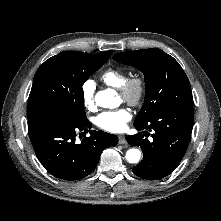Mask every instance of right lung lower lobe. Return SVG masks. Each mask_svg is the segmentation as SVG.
Returning <instances> with one entry per match:
<instances>
[{"instance_id": "1", "label": "right lung lower lobe", "mask_w": 221, "mask_h": 221, "mask_svg": "<svg viewBox=\"0 0 221 221\" xmlns=\"http://www.w3.org/2000/svg\"><path fill=\"white\" fill-rule=\"evenodd\" d=\"M91 126L87 119L74 121L48 112L28 118L29 137L38 160L50 174L68 181L91 174L103 149L118 143L116 135L101 130L90 131V136L79 142L77 134L88 132Z\"/></svg>"}]
</instances>
